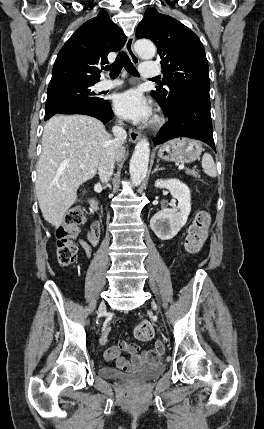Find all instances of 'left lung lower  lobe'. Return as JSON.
<instances>
[{"mask_svg": "<svg viewBox=\"0 0 264 429\" xmlns=\"http://www.w3.org/2000/svg\"><path fill=\"white\" fill-rule=\"evenodd\" d=\"M160 106L169 121L154 138L155 145L177 137H189L207 143L216 151L210 98L181 92L172 105Z\"/></svg>", "mask_w": 264, "mask_h": 429, "instance_id": "0a47b994", "label": "left lung lower lobe"}]
</instances>
